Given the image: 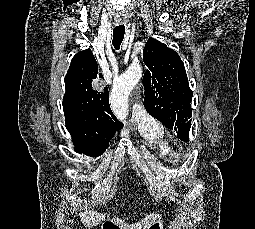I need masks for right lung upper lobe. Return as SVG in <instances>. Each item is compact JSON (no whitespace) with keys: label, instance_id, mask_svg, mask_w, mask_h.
Segmentation results:
<instances>
[{"label":"right lung upper lobe","instance_id":"right-lung-upper-lobe-1","mask_svg":"<svg viewBox=\"0 0 255 229\" xmlns=\"http://www.w3.org/2000/svg\"><path fill=\"white\" fill-rule=\"evenodd\" d=\"M98 77L103 76L98 74L91 50L78 52L64 79L63 110L72 137L111 139L123 127L111 111L107 87L103 91L93 89L92 82Z\"/></svg>","mask_w":255,"mask_h":229}]
</instances>
